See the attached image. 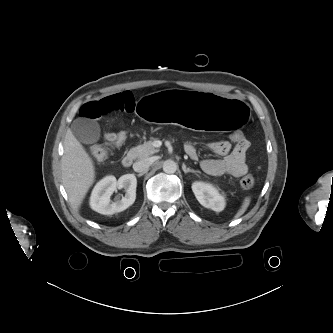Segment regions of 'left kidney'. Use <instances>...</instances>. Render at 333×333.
Listing matches in <instances>:
<instances>
[{
  "label": "left kidney",
  "mask_w": 333,
  "mask_h": 333,
  "mask_svg": "<svg viewBox=\"0 0 333 333\" xmlns=\"http://www.w3.org/2000/svg\"><path fill=\"white\" fill-rule=\"evenodd\" d=\"M192 190L202 206L216 212L224 209L225 199L213 185L204 182H194Z\"/></svg>",
  "instance_id": "1"
}]
</instances>
